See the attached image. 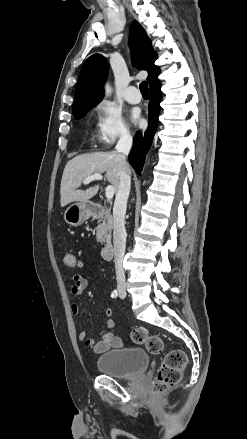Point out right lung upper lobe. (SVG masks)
<instances>
[{
  "instance_id": "1",
  "label": "right lung upper lobe",
  "mask_w": 247,
  "mask_h": 439,
  "mask_svg": "<svg viewBox=\"0 0 247 439\" xmlns=\"http://www.w3.org/2000/svg\"><path fill=\"white\" fill-rule=\"evenodd\" d=\"M129 45L133 65L139 70L148 71L147 81L150 88L160 84L158 80L160 69L154 65L157 54L151 49V41L137 21H133L130 27ZM108 69L106 58L100 54H94L85 61L76 84L73 115L90 110L101 102Z\"/></svg>"
}]
</instances>
